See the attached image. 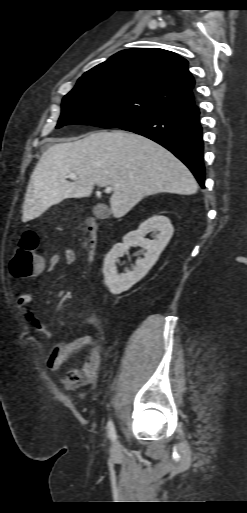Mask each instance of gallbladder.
Here are the masks:
<instances>
[{
  "instance_id": "obj_1",
  "label": "gallbladder",
  "mask_w": 247,
  "mask_h": 513,
  "mask_svg": "<svg viewBox=\"0 0 247 513\" xmlns=\"http://www.w3.org/2000/svg\"><path fill=\"white\" fill-rule=\"evenodd\" d=\"M106 211H107V210H106V208H105L104 206H99V205H97V206H96V207H94V209H93L94 214H95L96 216H98V217H101L104 213L106 214V213H107Z\"/></svg>"
}]
</instances>
